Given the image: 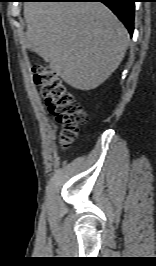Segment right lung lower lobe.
<instances>
[{"instance_id":"right-lung-lower-lobe-1","label":"right lung lower lobe","mask_w":156,"mask_h":266,"mask_svg":"<svg viewBox=\"0 0 156 266\" xmlns=\"http://www.w3.org/2000/svg\"><path fill=\"white\" fill-rule=\"evenodd\" d=\"M54 2H102L123 22L130 35L133 34L135 0H36Z\"/></svg>"}]
</instances>
